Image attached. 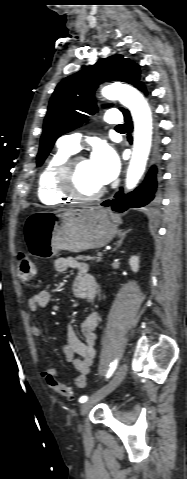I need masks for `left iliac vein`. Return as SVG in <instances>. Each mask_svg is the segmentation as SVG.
<instances>
[{
	"instance_id": "4c4485c4",
	"label": "left iliac vein",
	"mask_w": 187,
	"mask_h": 479,
	"mask_svg": "<svg viewBox=\"0 0 187 479\" xmlns=\"http://www.w3.org/2000/svg\"><path fill=\"white\" fill-rule=\"evenodd\" d=\"M126 373L127 365L124 363L119 367L112 380L96 396H94L92 399L88 400L80 406V414L82 416L86 415L98 400L111 393L122 382V380L126 376Z\"/></svg>"
}]
</instances>
